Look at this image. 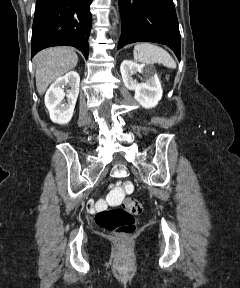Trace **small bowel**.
I'll return each instance as SVG.
<instances>
[{
  "mask_svg": "<svg viewBox=\"0 0 240 288\" xmlns=\"http://www.w3.org/2000/svg\"><path fill=\"white\" fill-rule=\"evenodd\" d=\"M116 195L120 196L121 195V191L119 189H116L115 191Z\"/></svg>",
  "mask_w": 240,
  "mask_h": 288,
  "instance_id": "obj_1",
  "label": "small bowel"
}]
</instances>
